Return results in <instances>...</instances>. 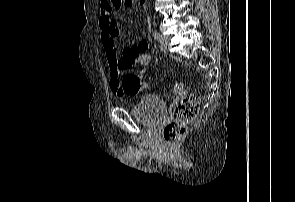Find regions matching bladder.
<instances>
[{
    "instance_id": "bladder-1",
    "label": "bladder",
    "mask_w": 295,
    "mask_h": 202,
    "mask_svg": "<svg viewBox=\"0 0 295 202\" xmlns=\"http://www.w3.org/2000/svg\"><path fill=\"white\" fill-rule=\"evenodd\" d=\"M131 111L140 123L155 126L165 118L167 104L156 95H145L138 100Z\"/></svg>"
}]
</instances>
